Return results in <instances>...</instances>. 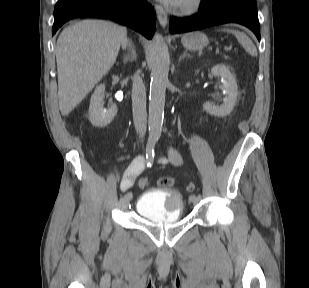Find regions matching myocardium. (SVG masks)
<instances>
[{"instance_id":"1","label":"myocardium","mask_w":309,"mask_h":288,"mask_svg":"<svg viewBox=\"0 0 309 288\" xmlns=\"http://www.w3.org/2000/svg\"><path fill=\"white\" fill-rule=\"evenodd\" d=\"M203 4V0H184L177 7V12L181 14H194L198 12Z\"/></svg>"}]
</instances>
